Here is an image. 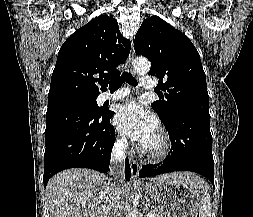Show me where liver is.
<instances>
[{
	"label": "liver",
	"instance_id": "6515ba94",
	"mask_svg": "<svg viewBox=\"0 0 253 217\" xmlns=\"http://www.w3.org/2000/svg\"><path fill=\"white\" fill-rule=\"evenodd\" d=\"M168 176L180 178L192 186H202L200 177L190 172L172 173L153 178L156 182ZM123 181V180H122ZM112 180L94 170L68 169L56 174L47 185L50 217H109L112 216ZM128 184L122 182V210Z\"/></svg>",
	"mask_w": 253,
	"mask_h": 217
}]
</instances>
